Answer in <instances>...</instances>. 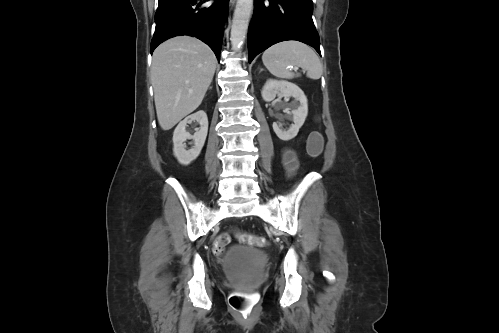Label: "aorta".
<instances>
[{
	"instance_id": "obj_1",
	"label": "aorta",
	"mask_w": 499,
	"mask_h": 333,
	"mask_svg": "<svg viewBox=\"0 0 499 333\" xmlns=\"http://www.w3.org/2000/svg\"><path fill=\"white\" fill-rule=\"evenodd\" d=\"M254 0H237L231 25V45L239 51L245 41Z\"/></svg>"
}]
</instances>
